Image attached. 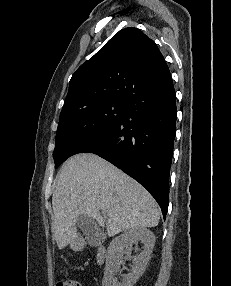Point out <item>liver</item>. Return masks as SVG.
<instances>
[{
    "label": "liver",
    "mask_w": 231,
    "mask_h": 286,
    "mask_svg": "<svg viewBox=\"0 0 231 286\" xmlns=\"http://www.w3.org/2000/svg\"><path fill=\"white\" fill-rule=\"evenodd\" d=\"M52 206L59 249L76 238L79 215L106 227L109 237L132 228L155 227L160 219L157 202L142 185L91 153L74 155L62 166ZM102 209L106 214H100Z\"/></svg>",
    "instance_id": "liver-1"
}]
</instances>
